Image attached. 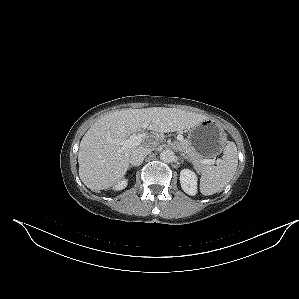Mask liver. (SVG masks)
<instances>
[{
	"label": "liver",
	"mask_w": 299,
	"mask_h": 299,
	"mask_svg": "<svg viewBox=\"0 0 299 299\" xmlns=\"http://www.w3.org/2000/svg\"><path fill=\"white\" fill-rule=\"evenodd\" d=\"M208 119L207 116L175 108L152 107L123 109L102 116L83 136L79 152V176L91 190H103L122 180L127 172L131 153L146 143L124 148L114 140H127L141 128L156 133L189 129Z\"/></svg>",
	"instance_id": "obj_1"
}]
</instances>
